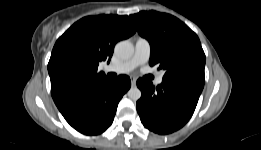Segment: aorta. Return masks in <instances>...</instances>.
<instances>
[{"label":"aorta","instance_id":"762f6f07","mask_svg":"<svg viewBox=\"0 0 261 150\" xmlns=\"http://www.w3.org/2000/svg\"><path fill=\"white\" fill-rule=\"evenodd\" d=\"M134 53V46L128 40L120 41L115 46V54L121 59H129ZM128 97L137 101L141 98V91L137 87H131L128 91Z\"/></svg>","mask_w":261,"mask_h":150}]
</instances>
